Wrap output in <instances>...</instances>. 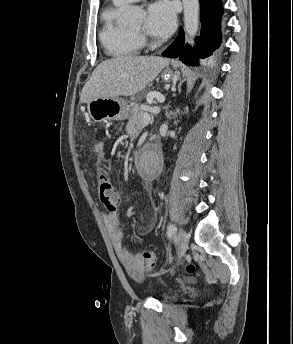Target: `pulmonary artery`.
I'll list each match as a JSON object with an SVG mask.
<instances>
[{"label":"pulmonary artery","instance_id":"obj_1","mask_svg":"<svg viewBox=\"0 0 293 344\" xmlns=\"http://www.w3.org/2000/svg\"><path fill=\"white\" fill-rule=\"evenodd\" d=\"M115 1L116 3H119V4H127V3H130V2H136V1H139V0H113Z\"/></svg>","mask_w":293,"mask_h":344}]
</instances>
